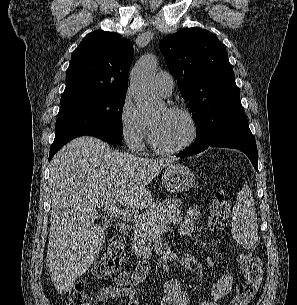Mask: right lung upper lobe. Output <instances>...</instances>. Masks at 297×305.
<instances>
[{
	"label": "right lung upper lobe",
	"instance_id": "right-lung-upper-lobe-1",
	"mask_svg": "<svg viewBox=\"0 0 297 305\" xmlns=\"http://www.w3.org/2000/svg\"><path fill=\"white\" fill-rule=\"evenodd\" d=\"M132 44L114 32L88 34L74 50L61 100L83 95L126 93Z\"/></svg>",
	"mask_w": 297,
	"mask_h": 305
}]
</instances>
